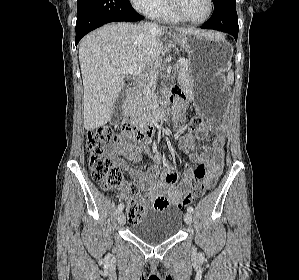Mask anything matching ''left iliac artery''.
<instances>
[{
	"mask_svg": "<svg viewBox=\"0 0 299 280\" xmlns=\"http://www.w3.org/2000/svg\"><path fill=\"white\" fill-rule=\"evenodd\" d=\"M187 211H188V212H193V211H194V210H193V207L189 206V207L187 208Z\"/></svg>",
	"mask_w": 299,
	"mask_h": 280,
	"instance_id": "44dca946",
	"label": "left iliac artery"
}]
</instances>
